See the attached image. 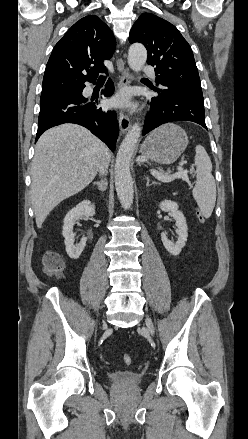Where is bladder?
I'll return each mask as SVG.
<instances>
[{
    "instance_id": "obj_1",
    "label": "bladder",
    "mask_w": 248,
    "mask_h": 439,
    "mask_svg": "<svg viewBox=\"0 0 248 439\" xmlns=\"http://www.w3.org/2000/svg\"><path fill=\"white\" fill-rule=\"evenodd\" d=\"M110 383L117 387H133L142 381V375L132 371H116L109 374Z\"/></svg>"
}]
</instances>
